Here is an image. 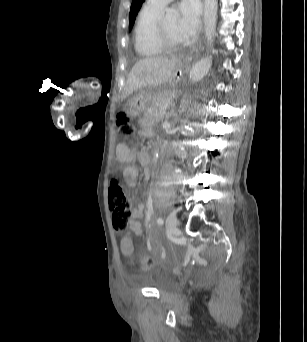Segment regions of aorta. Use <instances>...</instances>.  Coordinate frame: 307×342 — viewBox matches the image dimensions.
<instances>
[{"instance_id":"762f6f07","label":"aorta","mask_w":307,"mask_h":342,"mask_svg":"<svg viewBox=\"0 0 307 342\" xmlns=\"http://www.w3.org/2000/svg\"><path fill=\"white\" fill-rule=\"evenodd\" d=\"M217 10H218V2L217 0H204V32L205 38L208 44H212L215 30H216V22H217ZM166 16L164 18L165 22H177L179 18V12L176 8H167L165 10ZM212 64V56H207V58H202L200 62L194 64L190 70L189 80L191 82H197L200 80L206 72H208L209 68H211ZM159 158V150L156 148L153 154V164H157Z\"/></svg>"}]
</instances>
